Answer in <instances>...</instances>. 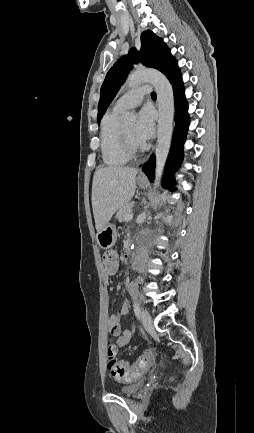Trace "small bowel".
<instances>
[{"instance_id":"c3829d8e","label":"small bowel","mask_w":254,"mask_h":433,"mask_svg":"<svg viewBox=\"0 0 254 433\" xmlns=\"http://www.w3.org/2000/svg\"><path fill=\"white\" fill-rule=\"evenodd\" d=\"M106 281L108 282L107 278ZM128 312H129L128 305L126 303H123L120 310L116 314L107 317L104 322V327L107 330V332L112 336L118 337L116 342L118 347H123L129 344L133 336L131 330L129 329L123 330L121 328V321L123 317H125L128 314Z\"/></svg>"}]
</instances>
